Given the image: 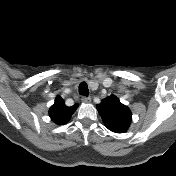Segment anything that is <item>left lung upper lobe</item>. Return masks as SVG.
I'll return each instance as SVG.
<instances>
[{"instance_id":"1","label":"left lung upper lobe","mask_w":176,"mask_h":176,"mask_svg":"<svg viewBox=\"0 0 176 176\" xmlns=\"http://www.w3.org/2000/svg\"><path fill=\"white\" fill-rule=\"evenodd\" d=\"M97 109L109 130L122 133L129 127L132 120L131 111L116 96L111 95L103 99Z\"/></svg>"}]
</instances>
